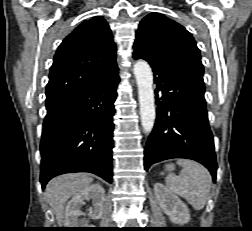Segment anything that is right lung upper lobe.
Here are the masks:
<instances>
[{"instance_id":"1","label":"right lung upper lobe","mask_w":252,"mask_h":231,"mask_svg":"<svg viewBox=\"0 0 252 231\" xmlns=\"http://www.w3.org/2000/svg\"><path fill=\"white\" fill-rule=\"evenodd\" d=\"M118 76L116 44L101 17L84 21L60 44L50 69L46 105Z\"/></svg>"}]
</instances>
